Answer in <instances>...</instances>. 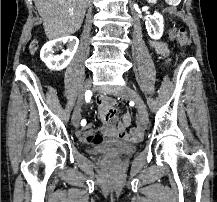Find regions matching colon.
I'll use <instances>...</instances> for the list:
<instances>
[{"label":"colon","instance_id":"5ec220e1","mask_svg":"<svg viewBox=\"0 0 217 202\" xmlns=\"http://www.w3.org/2000/svg\"><path fill=\"white\" fill-rule=\"evenodd\" d=\"M172 34L179 45L184 46L189 43V36L186 27L182 23H179L178 26L172 30ZM37 47L38 41L33 39L29 45L30 52L34 53ZM131 132H138V127H131Z\"/></svg>","mask_w":217,"mask_h":202}]
</instances>
